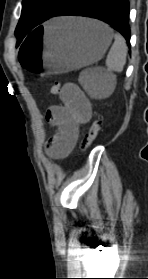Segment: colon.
Masks as SVG:
<instances>
[{
    "mask_svg": "<svg viewBox=\"0 0 148 279\" xmlns=\"http://www.w3.org/2000/svg\"><path fill=\"white\" fill-rule=\"evenodd\" d=\"M61 90H62V86L59 82L53 83L50 89L51 93L54 95L60 94ZM100 130H101V117L100 115H96L89 123L88 132L82 143V147L84 149L88 148L96 140Z\"/></svg>",
    "mask_w": 148,
    "mask_h": 279,
    "instance_id": "colon-1",
    "label": "colon"
}]
</instances>
